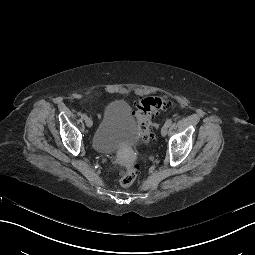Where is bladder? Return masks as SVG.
Returning <instances> with one entry per match:
<instances>
[{
	"label": "bladder",
	"mask_w": 255,
	"mask_h": 255,
	"mask_svg": "<svg viewBox=\"0 0 255 255\" xmlns=\"http://www.w3.org/2000/svg\"><path fill=\"white\" fill-rule=\"evenodd\" d=\"M118 122L128 127L126 133H119L115 129ZM138 129L133 122L129 104L124 100L112 101L105 109L103 121L92 142V150L108 153L115 152L122 145L136 144L140 140Z\"/></svg>",
	"instance_id": "31cf9c89"
}]
</instances>
